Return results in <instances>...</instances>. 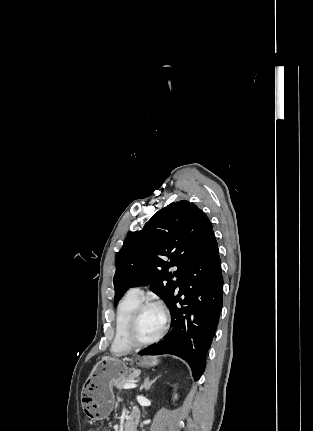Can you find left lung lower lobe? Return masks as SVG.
Returning <instances> with one entry per match:
<instances>
[{
	"instance_id": "1",
	"label": "left lung lower lobe",
	"mask_w": 313,
	"mask_h": 431,
	"mask_svg": "<svg viewBox=\"0 0 313 431\" xmlns=\"http://www.w3.org/2000/svg\"><path fill=\"white\" fill-rule=\"evenodd\" d=\"M179 291L167 305L171 326L164 339L139 355L173 354L184 359L195 381L206 366V354L215 335L223 305V277L213 230L185 271ZM183 295V299L180 297ZM179 302L182 307H178Z\"/></svg>"
}]
</instances>
